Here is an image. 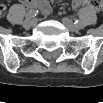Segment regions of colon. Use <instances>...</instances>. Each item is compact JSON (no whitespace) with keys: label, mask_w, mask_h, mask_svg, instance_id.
I'll list each match as a JSON object with an SVG mask.
<instances>
[{"label":"colon","mask_w":103,"mask_h":103,"mask_svg":"<svg viewBox=\"0 0 103 103\" xmlns=\"http://www.w3.org/2000/svg\"><path fill=\"white\" fill-rule=\"evenodd\" d=\"M85 5L93 8L94 10L101 12L103 9V3L101 0H87L84 2ZM3 7H0V13L3 12Z\"/></svg>","instance_id":"colon-1"}]
</instances>
